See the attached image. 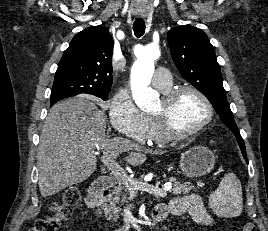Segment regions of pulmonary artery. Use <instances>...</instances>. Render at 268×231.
Wrapping results in <instances>:
<instances>
[{
    "label": "pulmonary artery",
    "mask_w": 268,
    "mask_h": 231,
    "mask_svg": "<svg viewBox=\"0 0 268 231\" xmlns=\"http://www.w3.org/2000/svg\"><path fill=\"white\" fill-rule=\"evenodd\" d=\"M152 83L158 88H165L172 84V79L170 76L169 69L166 67H159L153 77H152Z\"/></svg>",
    "instance_id": "obj_1"
}]
</instances>
